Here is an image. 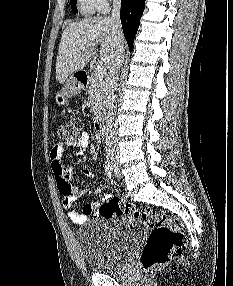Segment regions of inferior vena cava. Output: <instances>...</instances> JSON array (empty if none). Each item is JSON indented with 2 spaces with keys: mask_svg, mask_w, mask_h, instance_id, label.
<instances>
[{
  "mask_svg": "<svg viewBox=\"0 0 233 286\" xmlns=\"http://www.w3.org/2000/svg\"><path fill=\"white\" fill-rule=\"evenodd\" d=\"M120 0H113V9L111 13L110 20L113 21L117 28H119V36L122 35L121 23H120ZM124 60V47L121 42H118L116 45L115 58L109 67V79H108V97H107V105L109 108L108 116H107V145L111 148H114L117 151L116 142L113 138V134L116 131V123L114 122V109H115V90L118 78V70L122 65Z\"/></svg>",
  "mask_w": 233,
  "mask_h": 286,
  "instance_id": "obj_1",
  "label": "inferior vena cava"
}]
</instances>
